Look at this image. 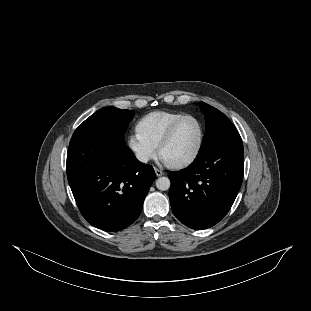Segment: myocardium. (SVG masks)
Segmentation results:
<instances>
[{"instance_id":"obj_1","label":"myocardium","mask_w":311,"mask_h":311,"mask_svg":"<svg viewBox=\"0 0 311 311\" xmlns=\"http://www.w3.org/2000/svg\"><path fill=\"white\" fill-rule=\"evenodd\" d=\"M188 118H195L200 123V126H201L200 142H199V145H198V148H197L195 154L190 159H188L184 162H181V163H177V164H168V166L170 168H173V169H183V168H187V167L193 165L199 159V157L201 156L202 151L204 149V145H205V141H206V137H207L206 125L200 116L190 113V114H185L181 118H179L170 127L168 132L164 135V137L162 138V140L160 141V143L158 144V147H157L158 156L161 158L162 151L173 141L178 128Z\"/></svg>"}]
</instances>
